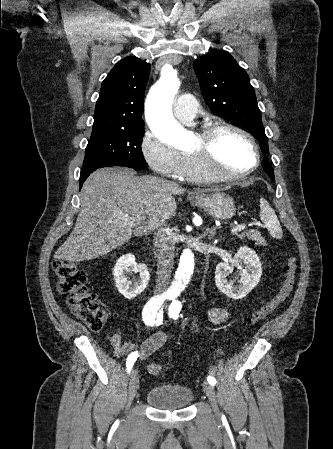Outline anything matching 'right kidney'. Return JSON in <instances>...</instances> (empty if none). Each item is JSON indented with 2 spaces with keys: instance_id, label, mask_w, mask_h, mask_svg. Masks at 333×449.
Wrapping results in <instances>:
<instances>
[{
  "instance_id": "1",
  "label": "right kidney",
  "mask_w": 333,
  "mask_h": 449,
  "mask_svg": "<svg viewBox=\"0 0 333 449\" xmlns=\"http://www.w3.org/2000/svg\"><path fill=\"white\" fill-rule=\"evenodd\" d=\"M131 271L139 273L138 279L130 281L128 275ZM116 287L121 295L133 299L141 294L147 287L150 274L145 264H137L133 254L120 257L113 269Z\"/></svg>"
}]
</instances>
